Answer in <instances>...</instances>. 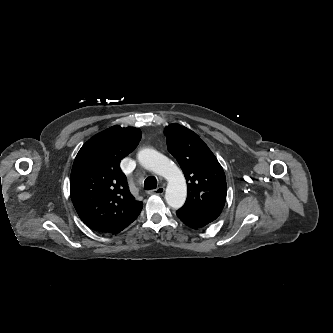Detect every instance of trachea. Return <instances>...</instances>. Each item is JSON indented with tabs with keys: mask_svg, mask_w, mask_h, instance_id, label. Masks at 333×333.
<instances>
[{
	"mask_svg": "<svg viewBox=\"0 0 333 333\" xmlns=\"http://www.w3.org/2000/svg\"><path fill=\"white\" fill-rule=\"evenodd\" d=\"M144 187L146 190H151V189H155L157 187V180L155 177H148L145 181H144Z\"/></svg>",
	"mask_w": 333,
	"mask_h": 333,
	"instance_id": "obj_1",
	"label": "trachea"
}]
</instances>
